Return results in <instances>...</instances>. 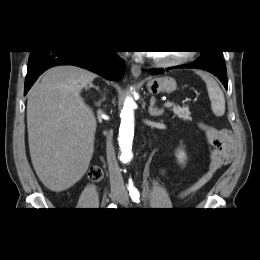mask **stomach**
Here are the masks:
<instances>
[{
    "instance_id": "obj_1",
    "label": "stomach",
    "mask_w": 260,
    "mask_h": 260,
    "mask_svg": "<svg viewBox=\"0 0 260 260\" xmlns=\"http://www.w3.org/2000/svg\"><path fill=\"white\" fill-rule=\"evenodd\" d=\"M147 88L152 94L172 93L177 89V83L171 77H157L149 79Z\"/></svg>"
}]
</instances>
